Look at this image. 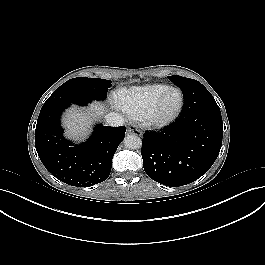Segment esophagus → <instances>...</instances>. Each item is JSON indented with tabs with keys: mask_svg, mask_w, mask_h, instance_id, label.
Listing matches in <instances>:
<instances>
[{
	"mask_svg": "<svg viewBox=\"0 0 265 265\" xmlns=\"http://www.w3.org/2000/svg\"><path fill=\"white\" fill-rule=\"evenodd\" d=\"M128 134H137L138 133H142L139 129L135 128V126H130L127 130Z\"/></svg>",
	"mask_w": 265,
	"mask_h": 265,
	"instance_id": "esophagus-1",
	"label": "esophagus"
}]
</instances>
